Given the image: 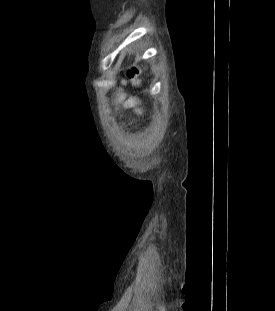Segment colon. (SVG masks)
Instances as JSON below:
<instances>
[{
  "label": "colon",
  "mask_w": 275,
  "mask_h": 311,
  "mask_svg": "<svg viewBox=\"0 0 275 311\" xmlns=\"http://www.w3.org/2000/svg\"><path fill=\"white\" fill-rule=\"evenodd\" d=\"M139 68L138 67H132L129 71H128V76L131 78V79H136L139 75Z\"/></svg>",
  "instance_id": "obj_1"
}]
</instances>
